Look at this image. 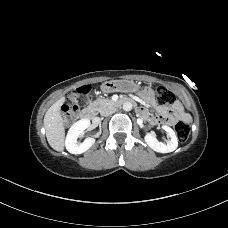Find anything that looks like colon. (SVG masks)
Masks as SVG:
<instances>
[{
  "mask_svg": "<svg viewBox=\"0 0 228 228\" xmlns=\"http://www.w3.org/2000/svg\"><path fill=\"white\" fill-rule=\"evenodd\" d=\"M90 91L91 87L89 85H83L73 90L69 100L62 107V112L66 118L71 119L75 116L79 109L78 99L83 95H87ZM156 99L161 105H169L175 101V95L168 88L159 86L156 88ZM175 130L181 142L188 140L190 135V124L188 122H178L175 126Z\"/></svg>",
  "mask_w": 228,
  "mask_h": 228,
  "instance_id": "1",
  "label": "colon"
}]
</instances>
